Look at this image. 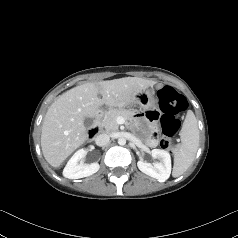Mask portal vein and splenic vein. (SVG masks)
I'll use <instances>...</instances> for the list:
<instances>
[{
	"mask_svg": "<svg viewBox=\"0 0 238 238\" xmlns=\"http://www.w3.org/2000/svg\"><path fill=\"white\" fill-rule=\"evenodd\" d=\"M117 120H118L119 122H121V123L124 122V119H123L122 117H118Z\"/></svg>",
	"mask_w": 238,
	"mask_h": 238,
	"instance_id": "obj_1",
	"label": "portal vein and splenic vein"
}]
</instances>
